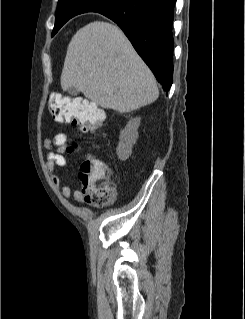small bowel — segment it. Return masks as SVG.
Here are the masks:
<instances>
[{
    "mask_svg": "<svg viewBox=\"0 0 245 319\" xmlns=\"http://www.w3.org/2000/svg\"><path fill=\"white\" fill-rule=\"evenodd\" d=\"M44 147L47 150V163L46 167L50 173L51 180L55 186L59 187L63 196L69 198L74 197L76 202L82 203L84 196L80 190H72V188L64 183L61 185V181L58 175L54 173L56 167H64L67 164L65 153L68 152V136L63 133H57L53 139H45Z\"/></svg>",
    "mask_w": 245,
    "mask_h": 319,
    "instance_id": "obj_1",
    "label": "small bowel"
}]
</instances>
